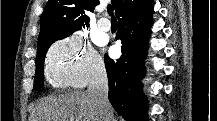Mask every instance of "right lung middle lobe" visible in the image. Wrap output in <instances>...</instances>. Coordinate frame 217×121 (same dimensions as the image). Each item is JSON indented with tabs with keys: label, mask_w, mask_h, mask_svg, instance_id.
Listing matches in <instances>:
<instances>
[{
	"label": "right lung middle lobe",
	"mask_w": 217,
	"mask_h": 121,
	"mask_svg": "<svg viewBox=\"0 0 217 121\" xmlns=\"http://www.w3.org/2000/svg\"><path fill=\"white\" fill-rule=\"evenodd\" d=\"M63 39V38H62ZM59 40V39H56ZM56 40H51L45 42L37 47V55H36V73H35V80H34V87L33 90H39L43 86V64L44 58L48 48L52 45L53 42Z\"/></svg>",
	"instance_id": "dd1d6c3e"
}]
</instances>
